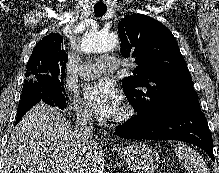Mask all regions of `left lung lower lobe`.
Returning <instances> with one entry per match:
<instances>
[{"label": "left lung lower lobe", "instance_id": "0a47b994", "mask_svg": "<svg viewBox=\"0 0 219 173\" xmlns=\"http://www.w3.org/2000/svg\"><path fill=\"white\" fill-rule=\"evenodd\" d=\"M119 137L143 140H180L203 149L213 161V141L199 102L183 103L150 119L132 118L117 127Z\"/></svg>", "mask_w": 219, "mask_h": 173}]
</instances>
